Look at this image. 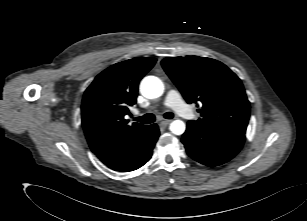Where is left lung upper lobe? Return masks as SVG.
I'll use <instances>...</instances> for the list:
<instances>
[{
    "label": "left lung upper lobe",
    "instance_id": "obj_1",
    "mask_svg": "<svg viewBox=\"0 0 307 221\" xmlns=\"http://www.w3.org/2000/svg\"><path fill=\"white\" fill-rule=\"evenodd\" d=\"M162 67L186 101L197 104V124L245 134L250 103L241 80L223 63L205 57H168Z\"/></svg>",
    "mask_w": 307,
    "mask_h": 221
}]
</instances>
